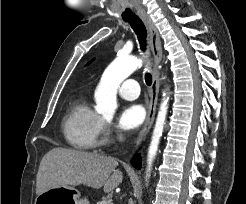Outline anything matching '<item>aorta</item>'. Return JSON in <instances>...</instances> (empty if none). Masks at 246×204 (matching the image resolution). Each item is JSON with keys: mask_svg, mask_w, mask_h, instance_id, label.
Returning <instances> with one entry per match:
<instances>
[{"mask_svg": "<svg viewBox=\"0 0 246 204\" xmlns=\"http://www.w3.org/2000/svg\"><path fill=\"white\" fill-rule=\"evenodd\" d=\"M141 65L142 60L140 58L120 55L106 68L95 92L96 111L99 114L105 118L113 117L117 109V89L119 85ZM165 96L166 93H163L164 98L160 105L148 149L147 172L150 171L158 151V145L166 121L168 98H165Z\"/></svg>", "mask_w": 246, "mask_h": 204, "instance_id": "aorta-1", "label": "aorta"}]
</instances>
